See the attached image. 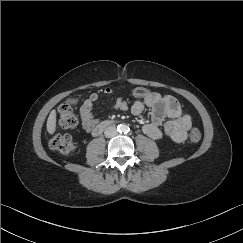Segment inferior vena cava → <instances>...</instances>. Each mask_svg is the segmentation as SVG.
<instances>
[{
    "label": "inferior vena cava",
    "mask_w": 243,
    "mask_h": 243,
    "mask_svg": "<svg viewBox=\"0 0 243 243\" xmlns=\"http://www.w3.org/2000/svg\"><path fill=\"white\" fill-rule=\"evenodd\" d=\"M104 135L106 138H112L117 135V130L113 126H109L105 129Z\"/></svg>",
    "instance_id": "602c4592"
}]
</instances>
